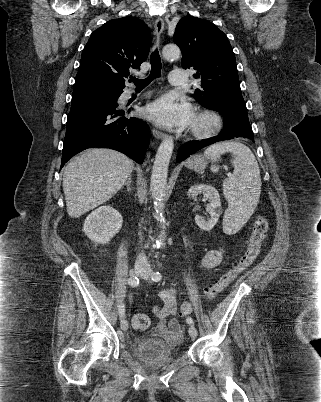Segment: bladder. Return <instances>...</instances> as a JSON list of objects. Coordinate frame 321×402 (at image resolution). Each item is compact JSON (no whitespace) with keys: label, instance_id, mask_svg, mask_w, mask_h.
<instances>
[{"label":"bladder","instance_id":"obj_1","mask_svg":"<svg viewBox=\"0 0 321 402\" xmlns=\"http://www.w3.org/2000/svg\"><path fill=\"white\" fill-rule=\"evenodd\" d=\"M181 340L174 346L179 347ZM135 356L143 363L150 366L165 365L171 363L176 358V351L155 337L154 331H149L141 335L136 340V345L132 349Z\"/></svg>","mask_w":321,"mask_h":402}]
</instances>
